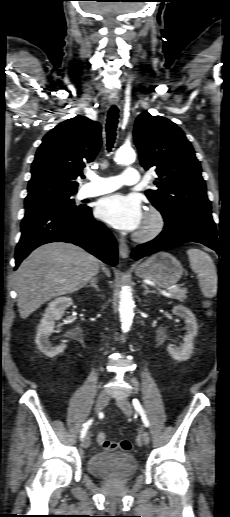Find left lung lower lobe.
Segmentation results:
<instances>
[{
	"label": "left lung lower lobe",
	"instance_id": "obj_1",
	"mask_svg": "<svg viewBox=\"0 0 230 517\" xmlns=\"http://www.w3.org/2000/svg\"><path fill=\"white\" fill-rule=\"evenodd\" d=\"M186 242L202 243L221 255V245L211 211L183 213L174 221H165L164 230L154 240L138 245L132 257L138 260L160 250Z\"/></svg>",
	"mask_w": 230,
	"mask_h": 517
}]
</instances>
